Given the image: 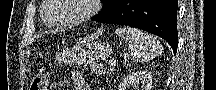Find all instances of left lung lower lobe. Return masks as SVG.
Masks as SVG:
<instances>
[{"label":"left lung lower lobe","mask_w":216,"mask_h":90,"mask_svg":"<svg viewBox=\"0 0 216 90\" xmlns=\"http://www.w3.org/2000/svg\"><path fill=\"white\" fill-rule=\"evenodd\" d=\"M177 8V0H120L112 9L100 12L91 20L143 29L165 39L176 53Z\"/></svg>","instance_id":"left-lung-lower-lobe-1"}]
</instances>
